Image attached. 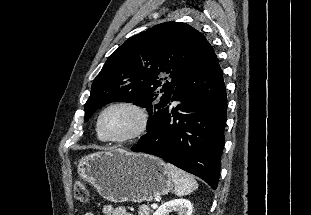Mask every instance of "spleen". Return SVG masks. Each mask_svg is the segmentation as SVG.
I'll return each instance as SVG.
<instances>
[{"mask_svg":"<svg viewBox=\"0 0 311 215\" xmlns=\"http://www.w3.org/2000/svg\"><path fill=\"white\" fill-rule=\"evenodd\" d=\"M165 167L174 184L177 196L181 197L190 194L198 188L197 181L190 174L169 163H166Z\"/></svg>","mask_w":311,"mask_h":215,"instance_id":"3e777b00","label":"spleen"}]
</instances>
